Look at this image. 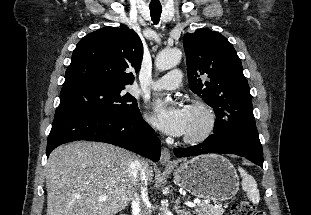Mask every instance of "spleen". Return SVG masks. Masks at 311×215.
<instances>
[{
    "label": "spleen",
    "mask_w": 311,
    "mask_h": 215,
    "mask_svg": "<svg viewBox=\"0 0 311 215\" xmlns=\"http://www.w3.org/2000/svg\"><path fill=\"white\" fill-rule=\"evenodd\" d=\"M238 170L242 177V189L247 193V197L253 204H258L260 201V195L255 179L243 168L239 167Z\"/></svg>",
    "instance_id": "3e777b00"
}]
</instances>
